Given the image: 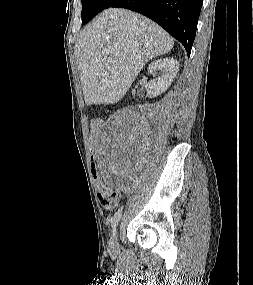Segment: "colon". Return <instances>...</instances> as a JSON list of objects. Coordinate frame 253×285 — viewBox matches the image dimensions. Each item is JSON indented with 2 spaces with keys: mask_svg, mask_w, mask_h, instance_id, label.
<instances>
[{
  "mask_svg": "<svg viewBox=\"0 0 253 285\" xmlns=\"http://www.w3.org/2000/svg\"><path fill=\"white\" fill-rule=\"evenodd\" d=\"M98 126L99 120L94 119L91 122L90 126V134H91V143H90V172L91 176H93V180H96V190L97 196L101 203V205L107 209L111 210L115 207V205L119 201V194L118 192L108 185L103 180V175H100L99 167H98V153L99 150L98 145Z\"/></svg>",
  "mask_w": 253,
  "mask_h": 285,
  "instance_id": "5ec220e1",
  "label": "colon"
}]
</instances>
